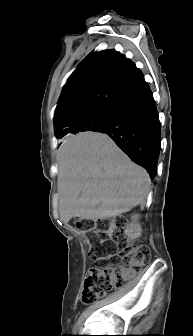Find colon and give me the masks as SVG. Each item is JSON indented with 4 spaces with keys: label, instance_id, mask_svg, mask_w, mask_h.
<instances>
[{
    "label": "colon",
    "instance_id": "colon-1",
    "mask_svg": "<svg viewBox=\"0 0 193 336\" xmlns=\"http://www.w3.org/2000/svg\"><path fill=\"white\" fill-rule=\"evenodd\" d=\"M76 226L88 234L96 244V258L118 256L123 260L122 265L96 267L88 271L81 293L83 304H91L124 287L150 260L151 252L148 246L126 239L125 221L122 218L100 223L77 221Z\"/></svg>",
    "mask_w": 193,
    "mask_h": 336
}]
</instances>
